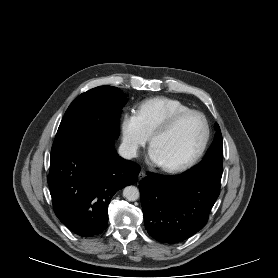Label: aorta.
<instances>
[{"label": "aorta", "mask_w": 278, "mask_h": 278, "mask_svg": "<svg viewBox=\"0 0 278 278\" xmlns=\"http://www.w3.org/2000/svg\"><path fill=\"white\" fill-rule=\"evenodd\" d=\"M139 196V190L135 186H127L123 190V197L128 201H136Z\"/></svg>", "instance_id": "762f6f07"}]
</instances>
